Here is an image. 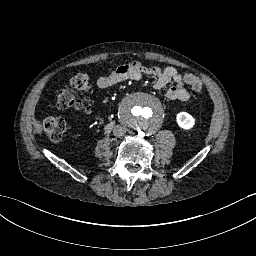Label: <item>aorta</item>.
I'll return each mask as SVG.
<instances>
[{"mask_svg": "<svg viewBox=\"0 0 256 256\" xmlns=\"http://www.w3.org/2000/svg\"><path fill=\"white\" fill-rule=\"evenodd\" d=\"M124 118L131 129L138 132H147L158 125L161 118V109L154 98L147 95H138L127 102L124 109Z\"/></svg>", "mask_w": 256, "mask_h": 256, "instance_id": "762f6f07", "label": "aorta"}]
</instances>
